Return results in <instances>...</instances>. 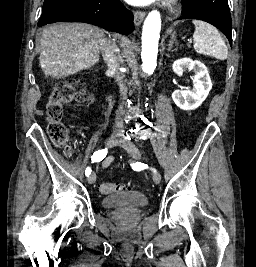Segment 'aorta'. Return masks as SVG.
I'll return each mask as SVG.
<instances>
[{
	"label": "aorta",
	"mask_w": 256,
	"mask_h": 267,
	"mask_svg": "<svg viewBox=\"0 0 256 267\" xmlns=\"http://www.w3.org/2000/svg\"><path fill=\"white\" fill-rule=\"evenodd\" d=\"M161 32V14L158 10L149 12L142 30V70L154 72L157 64L158 44ZM145 40V46L143 44ZM143 48L145 52H143Z\"/></svg>",
	"instance_id": "1"
}]
</instances>
